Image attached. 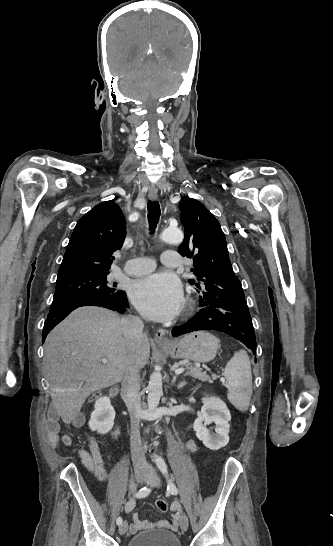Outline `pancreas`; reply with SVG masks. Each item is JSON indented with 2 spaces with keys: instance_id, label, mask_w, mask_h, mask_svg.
Returning a JSON list of instances; mask_svg holds the SVG:
<instances>
[{
  "instance_id": "cf45deb5",
  "label": "pancreas",
  "mask_w": 333,
  "mask_h": 546,
  "mask_svg": "<svg viewBox=\"0 0 333 546\" xmlns=\"http://www.w3.org/2000/svg\"><path fill=\"white\" fill-rule=\"evenodd\" d=\"M184 366L187 369L185 376H191L203 382H212L211 378L206 374V372H203L201 369L197 368L196 366H193L191 364H184Z\"/></svg>"
}]
</instances>
